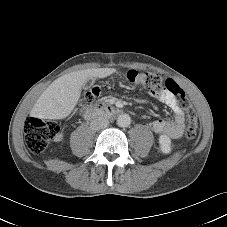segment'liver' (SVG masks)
I'll use <instances>...</instances> for the list:
<instances>
[{
  "mask_svg": "<svg viewBox=\"0 0 227 227\" xmlns=\"http://www.w3.org/2000/svg\"><path fill=\"white\" fill-rule=\"evenodd\" d=\"M115 72V68H93L57 78L37 99L31 115L40 119L66 118L77 105L82 86L88 79L105 78Z\"/></svg>",
  "mask_w": 227,
  "mask_h": 227,
  "instance_id": "6515ba94",
  "label": "liver"
}]
</instances>
